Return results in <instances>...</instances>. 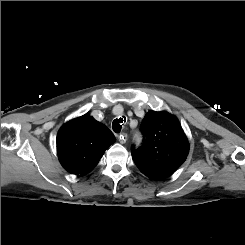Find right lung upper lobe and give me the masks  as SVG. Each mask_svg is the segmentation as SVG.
<instances>
[{
  "mask_svg": "<svg viewBox=\"0 0 245 245\" xmlns=\"http://www.w3.org/2000/svg\"><path fill=\"white\" fill-rule=\"evenodd\" d=\"M114 142L115 137L107 126L85 114L67 122L59 130V161L68 172L85 175L98 164L105 150Z\"/></svg>",
  "mask_w": 245,
  "mask_h": 245,
  "instance_id": "cb5924a9",
  "label": "right lung upper lobe"
}]
</instances>
